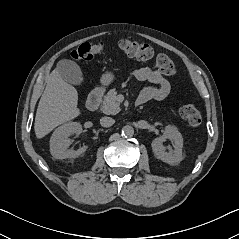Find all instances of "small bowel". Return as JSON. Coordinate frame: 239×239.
<instances>
[{"label": "small bowel", "mask_w": 239, "mask_h": 239, "mask_svg": "<svg viewBox=\"0 0 239 239\" xmlns=\"http://www.w3.org/2000/svg\"><path fill=\"white\" fill-rule=\"evenodd\" d=\"M132 75L138 81H148L151 85H148L140 92L137 102L142 104L149 100H163L170 91L171 85L169 81L163 76V74L151 67L136 68L132 71Z\"/></svg>", "instance_id": "small-bowel-1"}]
</instances>
